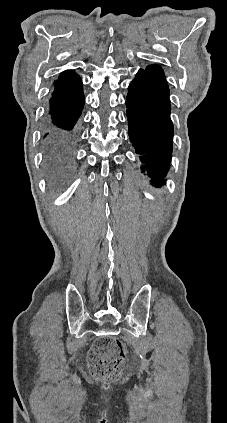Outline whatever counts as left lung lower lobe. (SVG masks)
I'll list each match as a JSON object with an SVG mask.
<instances>
[{
  "mask_svg": "<svg viewBox=\"0 0 227 423\" xmlns=\"http://www.w3.org/2000/svg\"><path fill=\"white\" fill-rule=\"evenodd\" d=\"M126 98L130 141L141 154L151 184L160 187L170 166L173 124L169 89L153 71L140 70Z\"/></svg>",
  "mask_w": 227,
  "mask_h": 423,
  "instance_id": "obj_1",
  "label": "left lung lower lobe"
}]
</instances>
